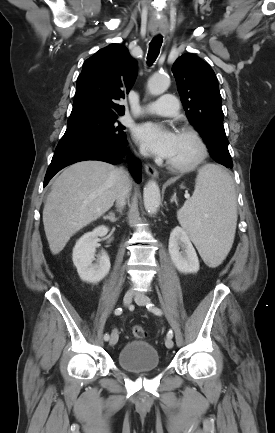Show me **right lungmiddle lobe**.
I'll list each match as a JSON object with an SVG mask.
<instances>
[{
	"label": "right lung middle lobe",
	"instance_id": "1",
	"mask_svg": "<svg viewBox=\"0 0 275 433\" xmlns=\"http://www.w3.org/2000/svg\"><path fill=\"white\" fill-rule=\"evenodd\" d=\"M118 116L87 115L68 119V127L57 147L98 145L126 141L125 127Z\"/></svg>",
	"mask_w": 275,
	"mask_h": 433
}]
</instances>
